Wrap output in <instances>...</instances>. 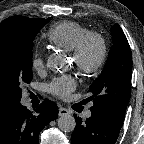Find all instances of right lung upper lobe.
Here are the masks:
<instances>
[{"instance_id": "cb5924a9", "label": "right lung upper lobe", "mask_w": 144, "mask_h": 144, "mask_svg": "<svg viewBox=\"0 0 144 144\" xmlns=\"http://www.w3.org/2000/svg\"><path fill=\"white\" fill-rule=\"evenodd\" d=\"M21 20L38 21L40 19H30L23 16H13L5 19L2 23H0V30L6 28L12 23ZM16 105L17 103L12 99L6 89L2 85H0V121L5 118L15 108Z\"/></svg>"}]
</instances>
